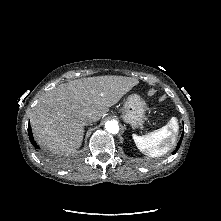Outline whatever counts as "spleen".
Here are the masks:
<instances>
[{"instance_id": "obj_1", "label": "spleen", "mask_w": 221, "mask_h": 221, "mask_svg": "<svg viewBox=\"0 0 221 221\" xmlns=\"http://www.w3.org/2000/svg\"><path fill=\"white\" fill-rule=\"evenodd\" d=\"M178 130V121L175 117H172L162 128L145 136L134 134L133 139L142 153L150 157H159L167 153L174 145Z\"/></svg>"}]
</instances>
